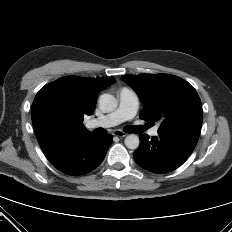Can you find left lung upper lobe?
<instances>
[{
	"label": "left lung upper lobe",
	"mask_w": 232,
	"mask_h": 232,
	"mask_svg": "<svg viewBox=\"0 0 232 232\" xmlns=\"http://www.w3.org/2000/svg\"><path fill=\"white\" fill-rule=\"evenodd\" d=\"M122 79L144 104L140 118L161 121L158 131L201 130V100L187 81L169 74L123 75Z\"/></svg>",
	"instance_id": "1"
}]
</instances>
